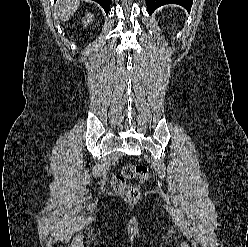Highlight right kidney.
Masks as SVG:
<instances>
[{
  "instance_id": "right-kidney-1",
  "label": "right kidney",
  "mask_w": 248,
  "mask_h": 247,
  "mask_svg": "<svg viewBox=\"0 0 248 247\" xmlns=\"http://www.w3.org/2000/svg\"><path fill=\"white\" fill-rule=\"evenodd\" d=\"M93 16H94L93 14L89 13V14L86 15L85 19L82 20V22H83L85 27L88 25V23L92 22V17Z\"/></svg>"
}]
</instances>
